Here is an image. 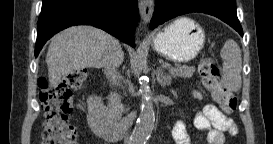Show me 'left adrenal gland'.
I'll use <instances>...</instances> for the list:
<instances>
[{
	"label": "left adrenal gland",
	"instance_id": "1",
	"mask_svg": "<svg viewBox=\"0 0 273 144\" xmlns=\"http://www.w3.org/2000/svg\"><path fill=\"white\" fill-rule=\"evenodd\" d=\"M155 74H156L157 82L161 85V87H165L166 85L171 84V76L167 75V74H164L161 67L157 68Z\"/></svg>",
	"mask_w": 273,
	"mask_h": 144
}]
</instances>
